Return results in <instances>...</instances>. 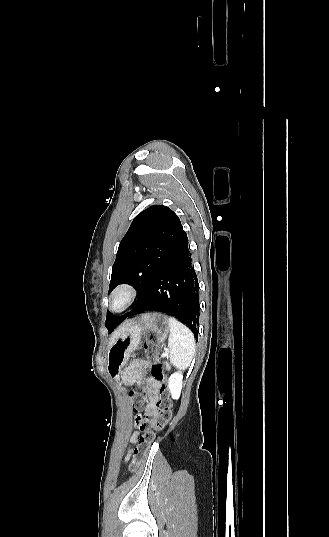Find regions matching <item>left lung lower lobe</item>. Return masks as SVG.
Segmentation results:
<instances>
[{
	"label": "left lung lower lobe",
	"instance_id": "0a47b994",
	"mask_svg": "<svg viewBox=\"0 0 329 537\" xmlns=\"http://www.w3.org/2000/svg\"><path fill=\"white\" fill-rule=\"evenodd\" d=\"M149 311L178 318L198 338L199 283L188 240L160 267L130 316Z\"/></svg>",
	"mask_w": 329,
	"mask_h": 537
}]
</instances>
